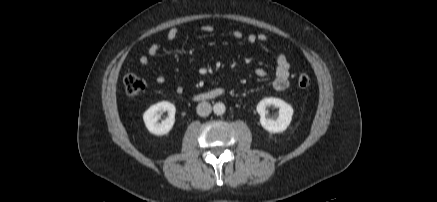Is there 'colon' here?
I'll use <instances>...</instances> for the list:
<instances>
[{
	"mask_svg": "<svg viewBox=\"0 0 437 202\" xmlns=\"http://www.w3.org/2000/svg\"><path fill=\"white\" fill-rule=\"evenodd\" d=\"M311 82L310 76L305 73H302L298 76L297 83L301 89L309 88ZM124 87L127 95L135 96L142 93L146 89L147 83L138 75L129 73L124 77Z\"/></svg>",
	"mask_w": 437,
	"mask_h": 202,
	"instance_id": "5ec220e1",
	"label": "colon"
}]
</instances>
